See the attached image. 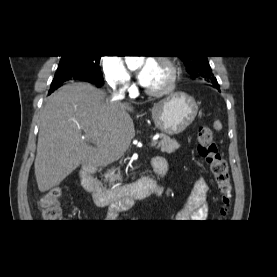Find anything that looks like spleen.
<instances>
[{
	"label": "spleen",
	"mask_w": 277,
	"mask_h": 277,
	"mask_svg": "<svg viewBox=\"0 0 277 277\" xmlns=\"http://www.w3.org/2000/svg\"><path fill=\"white\" fill-rule=\"evenodd\" d=\"M213 126L216 130H221L222 129V124L218 120L214 122Z\"/></svg>",
	"instance_id": "3e777b00"
}]
</instances>
